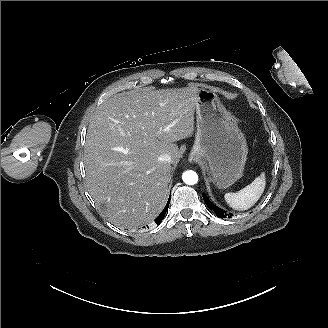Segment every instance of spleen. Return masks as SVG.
Segmentation results:
<instances>
[{"instance_id": "3e777b00", "label": "spleen", "mask_w": 328, "mask_h": 328, "mask_svg": "<svg viewBox=\"0 0 328 328\" xmlns=\"http://www.w3.org/2000/svg\"><path fill=\"white\" fill-rule=\"evenodd\" d=\"M265 186V173L262 172L251 184L247 185L237 193H226L224 198L227 204L234 210H248L259 200L264 192Z\"/></svg>"}]
</instances>
